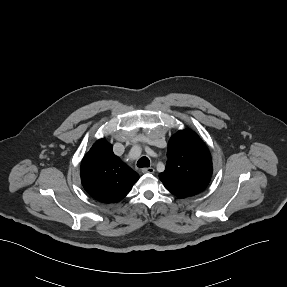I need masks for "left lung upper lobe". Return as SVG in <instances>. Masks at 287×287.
<instances>
[{"label": "left lung upper lobe", "instance_id": "left-lung-upper-lobe-1", "mask_svg": "<svg viewBox=\"0 0 287 287\" xmlns=\"http://www.w3.org/2000/svg\"><path fill=\"white\" fill-rule=\"evenodd\" d=\"M165 171L159 178L166 189L185 198L202 192L212 176V159L205 143L191 130H181L168 143Z\"/></svg>", "mask_w": 287, "mask_h": 287}]
</instances>
